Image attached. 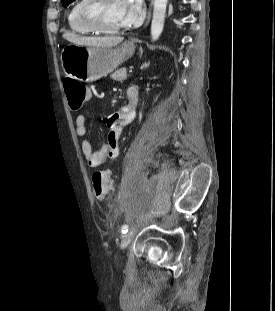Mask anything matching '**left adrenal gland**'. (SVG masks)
<instances>
[{"instance_id":"a2214340","label":"left adrenal gland","mask_w":275,"mask_h":311,"mask_svg":"<svg viewBox=\"0 0 275 311\" xmlns=\"http://www.w3.org/2000/svg\"><path fill=\"white\" fill-rule=\"evenodd\" d=\"M148 66H149V63H148V64L145 63V64L142 65V68H143V67H148Z\"/></svg>"}]
</instances>
